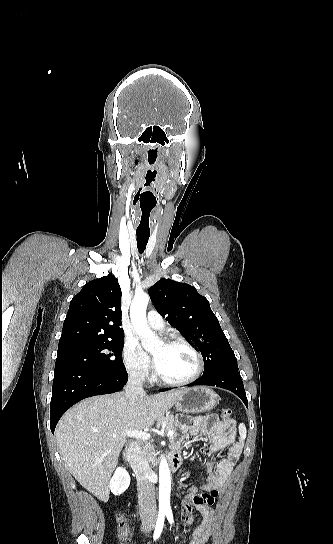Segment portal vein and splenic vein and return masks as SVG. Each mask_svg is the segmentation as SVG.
I'll return each mask as SVG.
<instances>
[{"mask_svg":"<svg viewBox=\"0 0 333 544\" xmlns=\"http://www.w3.org/2000/svg\"><path fill=\"white\" fill-rule=\"evenodd\" d=\"M125 434L127 436H129V437H134V438L142 439V440H145V441L150 439V437H151L150 433H148L146 431H141V430H127V431H125ZM167 435L168 436H173L174 431L169 430ZM113 437H117V434H113Z\"/></svg>","mask_w":333,"mask_h":544,"instance_id":"obj_1","label":"portal vein and splenic vein"}]
</instances>
